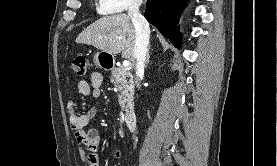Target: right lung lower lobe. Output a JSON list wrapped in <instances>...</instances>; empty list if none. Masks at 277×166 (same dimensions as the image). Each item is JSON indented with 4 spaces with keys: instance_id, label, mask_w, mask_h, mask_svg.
<instances>
[{
    "instance_id": "1",
    "label": "right lung lower lobe",
    "mask_w": 277,
    "mask_h": 166,
    "mask_svg": "<svg viewBox=\"0 0 277 166\" xmlns=\"http://www.w3.org/2000/svg\"><path fill=\"white\" fill-rule=\"evenodd\" d=\"M188 0H148L145 18L176 46L181 44L178 18Z\"/></svg>"
}]
</instances>
